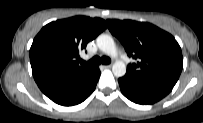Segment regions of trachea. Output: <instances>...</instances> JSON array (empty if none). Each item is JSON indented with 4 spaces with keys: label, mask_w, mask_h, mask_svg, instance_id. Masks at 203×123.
I'll return each mask as SVG.
<instances>
[{
    "label": "trachea",
    "mask_w": 203,
    "mask_h": 123,
    "mask_svg": "<svg viewBox=\"0 0 203 123\" xmlns=\"http://www.w3.org/2000/svg\"><path fill=\"white\" fill-rule=\"evenodd\" d=\"M111 62V59L109 57L103 56H95L93 57L88 63L92 65H99V64H109Z\"/></svg>",
    "instance_id": "3493384b"
}]
</instances>
